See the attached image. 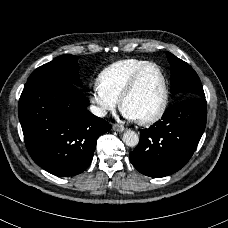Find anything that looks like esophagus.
<instances>
[{"mask_svg": "<svg viewBox=\"0 0 228 228\" xmlns=\"http://www.w3.org/2000/svg\"><path fill=\"white\" fill-rule=\"evenodd\" d=\"M113 130L117 132H123L125 131V128L120 124H113Z\"/></svg>", "mask_w": 228, "mask_h": 228, "instance_id": "esophagus-1", "label": "esophagus"}]
</instances>
